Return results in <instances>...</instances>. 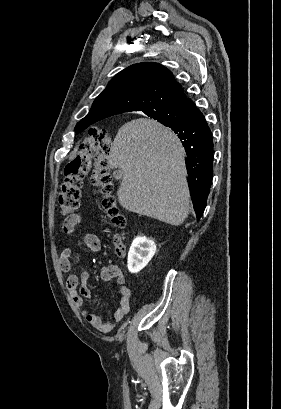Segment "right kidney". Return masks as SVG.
Wrapping results in <instances>:
<instances>
[{"label":"right kidney","mask_w":281,"mask_h":409,"mask_svg":"<svg viewBox=\"0 0 281 409\" xmlns=\"http://www.w3.org/2000/svg\"><path fill=\"white\" fill-rule=\"evenodd\" d=\"M156 253V245L147 237H136L132 241L130 251L128 253V269L130 273H139L144 269L154 257Z\"/></svg>","instance_id":"obj_1"}]
</instances>
